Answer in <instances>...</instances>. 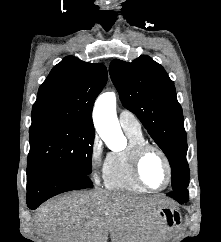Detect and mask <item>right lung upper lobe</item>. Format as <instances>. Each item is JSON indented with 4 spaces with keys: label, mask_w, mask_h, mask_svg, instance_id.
Segmentation results:
<instances>
[{
    "label": "right lung upper lobe",
    "mask_w": 221,
    "mask_h": 242,
    "mask_svg": "<svg viewBox=\"0 0 221 242\" xmlns=\"http://www.w3.org/2000/svg\"><path fill=\"white\" fill-rule=\"evenodd\" d=\"M106 81L103 64L65 57L39 88L31 126L72 123L94 129L92 109Z\"/></svg>",
    "instance_id": "1"
}]
</instances>
